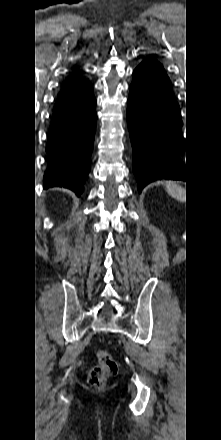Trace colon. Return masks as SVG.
<instances>
[{
  "label": "colon",
  "instance_id": "1",
  "mask_svg": "<svg viewBox=\"0 0 221 440\" xmlns=\"http://www.w3.org/2000/svg\"><path fill=\"white\" fill-rule=\"evenodd\" d=\"M98 364L91 369L88 381L96 388H101L106 384L108 378L115 376L118 372V365L114 358L105 350L96 353Z\"/></svg>",
  "mask_w": 221,
  "mask_h": 440
}]
</instances>
